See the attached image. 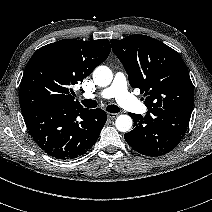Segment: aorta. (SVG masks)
<instances>
[{
    "label": "aorta",
    "mask_w": 212,
    "mask_h": 212,
    "mask_svg": "<svg viewBox=\"0 0 212 212\" xmlns=\"http://www.w3.org/2000/svg\"><path fill=\"white\" fill-rule=\"evenodd\" d=\"M113 79L112 71L107 67L100 65L93 71L94 83L98 86L105 87L108 86ZM132 119L128 115H119L116 118L115 126L120 132H128L132 128Z\"/></svg>",
    "instance_id": "aorta-1"
}]
</instances>
